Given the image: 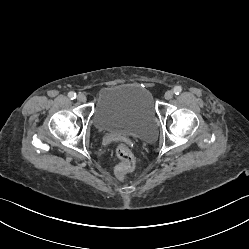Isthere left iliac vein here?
Instances as JSON below:
<instances>
[{
	"label": "left iliac vein",
	"instance_id": "left-iliac-vein-1",
	"mask_svg": "<svg viewBox=\"0 0 249 249\" xmlns=\"http://www.w3.org/2000/svg\"><path fill=\"white\" fill-rule=\"evenodd\" d=\"M173 95H174L173 91L169 90L165 92L164 97L165 99L170 100L173 97Z\"/></svg>",
	"mask_w": 249,
	"mask_h": 249
}]
</instances>
